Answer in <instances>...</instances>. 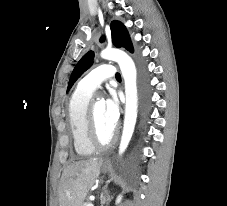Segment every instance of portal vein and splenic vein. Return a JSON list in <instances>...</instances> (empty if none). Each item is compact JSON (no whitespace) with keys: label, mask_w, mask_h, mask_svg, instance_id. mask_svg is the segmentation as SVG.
Returning <instances> with one entry per match:
<instances>
[{"label":"portal vein and splenic vein","mask_w":227,"mask_h":206,"mask_svg":"<svg viewBox=\"0 0 227 206\" xmlns=\"http://www.w3.org/2000/svg\"><path fill=\"white\" fill-rule=\"evenodd\" d=\"M86 206H94L92 203H87Z\"/></svg>","instance_id":"portal-vein-and-splenic-vein-1"}]
</instances>
